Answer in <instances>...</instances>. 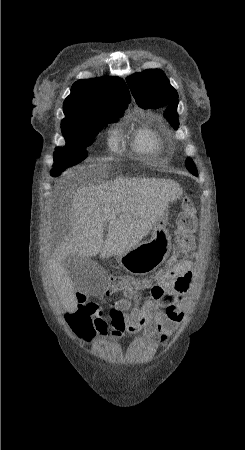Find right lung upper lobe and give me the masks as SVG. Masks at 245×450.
Returning <instances> with one entry per match:
<instances>
[{"label":"right lung upper lobe","instance_id":"obj_1","mask_svg":"<svg viewBox=\"0 0 245 450\" xmlns=\"http://www.w3.org/2000/svg\"><path fill=\"white\" fill-rule=\"evenodd\" d=\"M129 103V90L122 79L101 77L76 81L71 88V94L64 101L63 109L66 117H69L98 104L126 108Z\"/></svg>","mask_w":245,"mask_h":450}]
</instances>
